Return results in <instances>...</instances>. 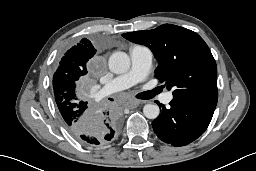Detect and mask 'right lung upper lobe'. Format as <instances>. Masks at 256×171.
<instances>
[{"mask_svg": "<svg viewBox=\"0 0 256 171\" xmlns=\"http://www.w3.org/2000/svg\"><path fill=\"white\" fill-rule=\"evenodd\" d=\"M95 53L96 50L92 46L91 42L88 39L83 38L80 43L68 50L64 57L72 60L75 66L85 75L87 73L86 63L94 56ZM56 94L57 96L55 95V101L66 127L69 130L78 127L85 114L83 109L76 111L80 103L70 98H64L60 92L56 91Z\"/></svg>", "mask_w": 256, "mask_h": 171, "instance_id": "obj_1", "label": "right lung upper lobe"}]
</instances>
